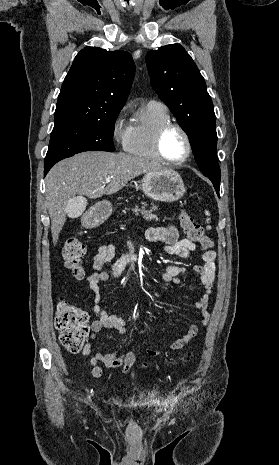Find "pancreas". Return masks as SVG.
<instances>
[{
  "label": "pancreas",
  "instance_id": "pancreas-1",
  "mask_svg": "<svg viewBox=\"0 0 279 465\" xmlns=\"http://www.w3.org/2000/svg\"><path fill=\"white\" fill-rule=\"evenodd\" d=\"M154 210H155V208H152L150 210H146L145 209V204H143V206L141 208L135 207L133 209V212L136 215L141 213L146 220H156V221H158L159 220L158 217L152 213ZM123 213H126V210H124Z\"/></svg>",
  "mask_w": 279,
  "mask_h": 465
}]
</instances>
